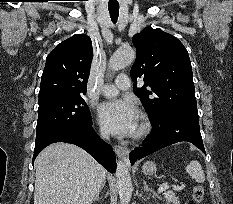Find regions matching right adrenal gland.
Returning a JSON list of instances; mask_svg holds the SVG:
<instances>
[{
  "instance_id": "obj_1",
  "label": "right adrenal gland",
  "mask_w": 233,
  "mask_h": 204,
  "mask_svg": "<svg viewBox=\"0 0 233 204\" xmlns=\"http://www.w3.org/2000/svg\"><path fill=\"white\" fill-rule=\"evenodd\" d=\"M102 189H103V187L96 193L95 197L93 198V200L91 201L90 204L99 200V195H100V192L102 191Z\"/></svg>"
}]
</instances>
